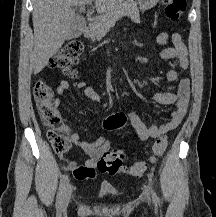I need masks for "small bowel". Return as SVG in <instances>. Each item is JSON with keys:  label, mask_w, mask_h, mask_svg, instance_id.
Masks as SVG:
<instances>
[{"label": "small bowel", "mask_w": 216, "mask_h": 217, "mask_svg": "<svg viewBox=\"0 0 216 217\" xmlns=\"http://www.w3.org/2000/svg\"><path fill=\"white\" fill-rule=\"evenodd\" d=\"M157 42L160 45L166 46L160 53L162 60H176L178 69H170L166 73V80L169 84L174 83L181 77L185 70L189 66L188 50L182 41L180 34L169 33L166 30L161 31L157 36ZM71 86H76L81 89L83 95L91 100L100 102L101 95L93 87L86 86L83 82L77 81L70 83L68 81L61 82L56 87V92L59 95L65 94ZM153 99L161 105H175V110L171 113L170 119L161 125L147 126L137 114V106L134 104L128 111V117L132 128L134 129L137 137L142 141L154 139L160 137L166 133L173 131L183 121L190 99V80L183 77L178 85L177 92H158L153 94ZM54 105L59 107L61 101L57 98L54 100ZM71 142L81 149L86 159L83 165L75 167L79 171L78 174H74L75 178L80 181L93 180L96 176L97 162L102 154L109 149L110 141L106 137H100L94 142H88L82 140L78 133L72 130L70 127L65 128ZM104 187H109L107 183H103Z\"/></svg>", "instance_id": "1"}]
</instances>
